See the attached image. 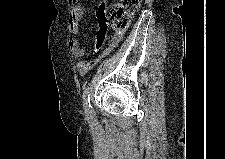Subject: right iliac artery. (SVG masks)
Wrapping results in <instances>:
<instances>
[{
  "label": "right iliac artery",
  "mask_w": 225,
  "mask_h": 159,
  "mask_svg": "<svg viewBox=\"0 0 225 159\" xmlns=\"http://www.w3.org/2000/svg\"><path fill=\"white\" fill-rule=\"evenodd\" d=\"M83 107L87 115H91L92 107L90 104L89 88H86L83 93Z\"/></svg>",
  "instance_id": "right-iliac-artery-1"
}]
</instances>
